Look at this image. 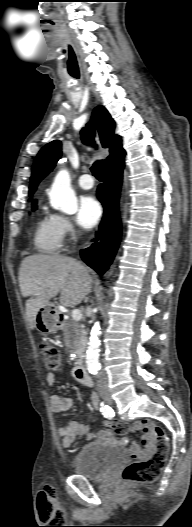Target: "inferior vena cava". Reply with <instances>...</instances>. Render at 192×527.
Masks as SVG:
<instances>
[{"label":"inferior vena cava","mask_w":192,"mask_h":527,"mask_svg":"<svg viewBox=\"0 0 192 527\" xmlns=\"http://www.w3.org/2000/svg\"><path fill=\"white\" fill-rule=\"evenodd\" d=\"M97 378H98V380H97V385H98L99 387H101V386H106V385H107V377H106V374L104 373V371L101 370V371L98 373V377H97Z\"/></svg>","instance_id":"inferior-vena-cava-1"}]
</instances>
